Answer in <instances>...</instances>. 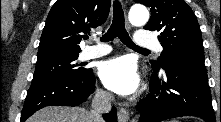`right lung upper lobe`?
<instances>
[{"mask_svg":"<svg viewBox=\"0 0 221 122\" xmlns=\"http://www.w3.org/2000/svg\"><path fill=\"white\" fill-rule=\"evenodd\" d=\"M110 4L111 0H57L41 35L38 59L79 54L83 34L106 21Z\"/></svg>","mask_w":221,"mask_h":122,"instance_id":"cb5924a9","label":"right lung upper lobe"}]
</instances>
